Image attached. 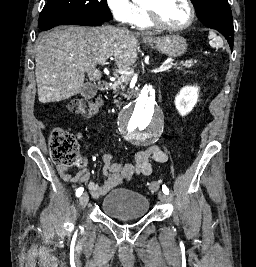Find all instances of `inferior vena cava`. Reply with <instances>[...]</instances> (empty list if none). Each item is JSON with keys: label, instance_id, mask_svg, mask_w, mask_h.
I'll use <instances>...</instances> for the list:
<instances>
[{"label": "inferior vena cava", "instance_id": "1", "mask_svg": "<svg viewBox=\"0 0 256 267\" xmlns=\"http://www.w3.org/2000/svg\"><path fill=\"white\" fill-rule=\"evenodd\" d=\"M119 26H120V24H119ZM121 30H125V32H127V28H121Z\"/></svg>", "mask_w": 256, "mask_h": 267}]
</instances>
